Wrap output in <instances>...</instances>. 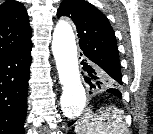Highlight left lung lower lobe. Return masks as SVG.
I'll use <instances>...</instances> for the list:
<instances>
[{
	"instance_id": "1",
	"label": "left lung lower lobe",
	"mask_w": 153,
	"mask_h": 134,
	"mask_svg": "<svg viewBox=\"0 0 153 134\" xmlns=\"http://www.w3.org/2000/svg\"><path fill=\"white\" fill-rule=\"evenodd\" d=\"M81 64L83 65V69L88 73L89 77H86V82L90 85L92 91L101 87H104V83L107 80L106 77L109 76V72L104 71L101 68H98L92 62L87 59L82 60ZM111 94L117 96L118 98H122L121 93L118 89H109L107 90ZM90 93H92L90 91ZM75 121L70 122L69 126L72 125Z\"/></svg>"
}]
</instances>
